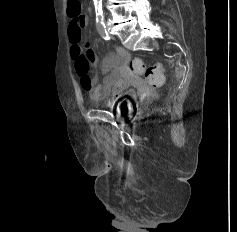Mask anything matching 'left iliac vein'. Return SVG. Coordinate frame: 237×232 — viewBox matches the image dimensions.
<instances>
[{
	"instance_id": "left-iliac-vein-1",
	"label": "left iliac vein",
	"mask_w": 237,
	"mask_h": 232,
	"mask_svg": "<svg viewBox=\"0 0 237 232\" xmlns=\"http://www.w3.org/2000/svg\"><path fill=\"white\" fill-rule=\"evenodd\" d=\"M109 34L111 35V33L109 32ZM111 37L113 38V36L111 35Z\"/></svg>"
}]
</instances>
